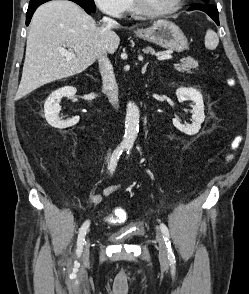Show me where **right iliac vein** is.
Instances as JSON below:
<instances>
[{"mask_svg": "<svg viewBox=\"0 0 249 294\" xmlns=\"http://www.w3.org/2000/svg\"><path fill=\"white\" fill-rule=\"evenodd\" d=\"M89 258V239H86L84 253H83V260L87 261Z\"/></svg>", "mask_w": 249, "mask_h": 294, "instance_id": "right-iliac-vein-1", "label": "right iliac vein"}]
</instances>
